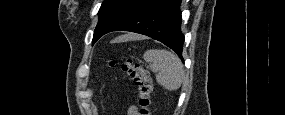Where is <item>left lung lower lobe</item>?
Returning a JSON list of instances; mask_svg holds the SVG:
<instances>
[{"instance_id":"obj_1","label":"left lung lower lobe","mask_w":285,"mask_h":115,"mask_svg":"<svg viewBox=\"0 0 285 115\" xmlns=\"http://www.w3.org/2000/svg\"><path fill=\"white\" fill-rule=\"evenodd\" d=\"M180 4L181 0H131L108 23L103 35L119 30L147 35L170 47L183 61Z\"/></svg>"}]
</instances>
